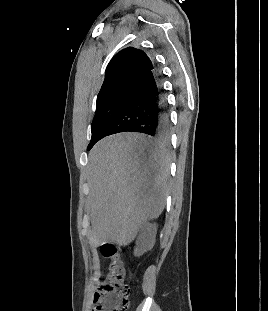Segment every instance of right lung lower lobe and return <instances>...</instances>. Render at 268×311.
<instances>
[{"mask_svg":"<svg viewBox=\"0 0 268 311\" xmlns=\"http://www.w3.org/2000/svg\"><path fill=\"white\" fill-rule=\"evenodd\" d=\"M170 120L164 90L156 66L136 84L128 103L104 130L101 137L120 132H139L155 139L168 136Z\"/></svg>","mask_w":268,"mask_h":311,"instance_id":"right-lung-lower-lobe-1","label":"right lung lower lobe"}]
</instances>
